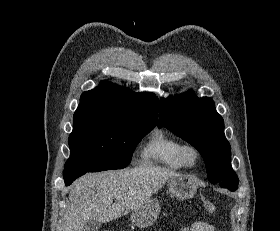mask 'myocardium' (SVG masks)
<instances>
[{
  "instance_id": "myocardium-1",
  "label": "myocardium",
  "mask_w": 280,
  "mask_h": 231,
  "mask_svg": "<svg viewBox=\"0 0 280 231\" xmlns=\"http://www.w3.org/2000/svg\"><path fill=\"white\" fill-rule=\"evenodd\" d=\"M187 149H193L196 152V154H197L198 162H197L195 167H190L185 162L184 153H185V151ZM178 157H179V160H180L181 165L183 166V168L192 171V170L197 169L200 166V164L202 163L203 154H202V151H201L200 147L198 145H196L195 143H192V142H182L180 147H179Z\"/></svg>"
}]
</instances>
